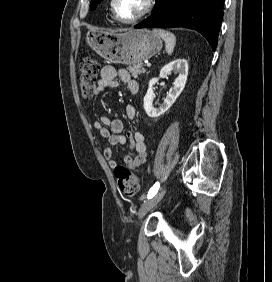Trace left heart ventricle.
Here are the masks:
<instances>
[{"label":"left heart ventricle","instance_id":"b2bd125f","mask_svg":"<svg viewBox=\"0 0 272 282\" xmlns=\"http://www.w3.org/2000/svg\"><path fill=\"white\" fill-rule=\"evenodd\" d=\"M147 0H117L116 11L123 19H130L141 13Z\"/></svg>","mask_w":272,"mask_h":282}]
</instances>
